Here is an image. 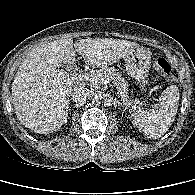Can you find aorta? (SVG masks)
<instances>
[{"label": "aorta", "instance_id": "1", "mask_svg": "<svg viewBox=\"0 0 195 195\" xmlns=\"http://www.w3.org/2000/svg\"><path fill=\"white\" fill-rule=\"evenodd\" d=\"M101 101H102V97L99 96V95H96L93 100H92V103L95 104V105H99L101 104Z\"/></svg>", "mask_w": 195, "mask_h": 195}]
</instances>
